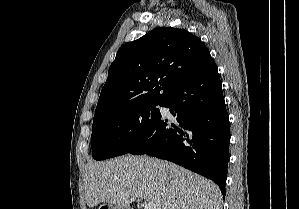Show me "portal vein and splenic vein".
I'll return each instance as SVG.
<instances>
[{"label":"portal vein and splenic vein","mask_w":299,"mask_h":209,"mask_svg":"<svg viewBox=\"0 0 299 209\" xmlns=\"http://www.w3.org/2000/svg\"><path fill=\"white\" fill-rule=\"evenodd\" d=\"M144 209H156V205L152 202L144 201Z\"/></svg>","instance_id":"18ae733b"}]
</instances>
